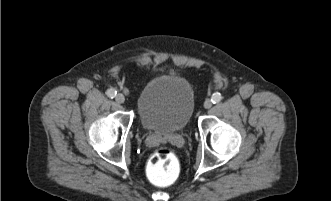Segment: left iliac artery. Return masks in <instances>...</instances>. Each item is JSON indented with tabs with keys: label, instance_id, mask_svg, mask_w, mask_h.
<instances>
[{
	"label": "left iliac artery",
	"instance_id": "1",
	"mask_svg": "<svg viewBox=\"0 0 331 201\" xmlns=\"http://www.w3.org/2000/svg\"><path fill=\"white\" fill-rule=\"evenodd\" d=\"M222 100V96L220 93H214L211 97V101L213 104L219 103Z\"/></svg>",
	"mask_w": 331,
	"mask_h": 201
}]
</instances>
